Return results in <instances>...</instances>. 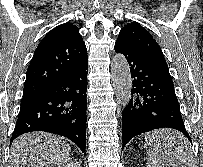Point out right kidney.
Instances as JSON below:
<instances>
[{
	"instance_id": "1",
	"label": "right kidney",
	"mask_w": 203,
	"mask_h": 167,
	"mask_svg": "<svg viewBox=\"0 0 203 167\" xmlns=\"http://www.w3.org/2000/svg\"><path fill=\"white\" fill-rule=\"evenodd\" d=\"M63 167H81V166H80L79 162L72 161V162L67 163Z\"/></svg>"
}]
</instances>
